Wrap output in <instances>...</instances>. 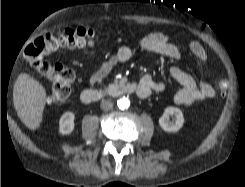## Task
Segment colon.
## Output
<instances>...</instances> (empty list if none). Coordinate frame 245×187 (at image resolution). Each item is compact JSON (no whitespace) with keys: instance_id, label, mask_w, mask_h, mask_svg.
Returning <instances> with one entry per match:
<instances>
[{"instance_id":"5ec220e1","label":"colon","mask_w":245,"mask_h":187,"mask_svg":"<svg viewBox=\"0 0 245 187\" xmlns=\"http://www.w3.org/2000/svg\"><path fill=\"white\" fill-rule=\"evenodd\" d=\"M97 37L98 34L89 28L64 29L46 33L26 47L24 52L26 63L53 83L47 96L48 103H58L69 97L75 73L68 66L47 61L46 57L63 47L91 46ZM218 89L224 95L228 89V82L225 79L219 80Z\"/></svg>"}]
</instances>
